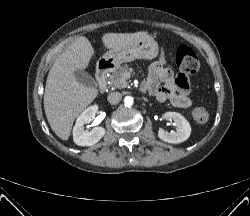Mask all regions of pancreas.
<instances>
[{"instance_id":"obj_1","label":"pancreas","mask_w":250,"mask_h":216,"mask_svg":"<svg viewBox=\"0 0 250 216\" xmlns=\"http://www.w3.org/2000/svg\"><path fill=\"white\" fill-rule=\"evenodd\" d=\"M130 70L128 65L119 67L109 77V85L113 88H125L128 86V82L124 77V74Z\"/></svg>"}]
</instances>
